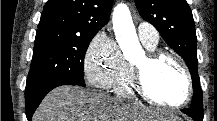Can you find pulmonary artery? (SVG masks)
<instances>
[{"mask_svg": "<svg viewBox=\"0 0 217 121\" xmlns=\"http://www.w3.org/2000/svg\"><path fill=\"white\" fill-rule=\"evenodd\" d=\"M138 36L143 43L148 45H157L159 42V33L156 28L147 22H140L137 26Z\"/></svg>", "mask_w": 217, "mask_h": 121, "instance_id": "obj_1", "label": "pulmonary artery"}]
</instances>
